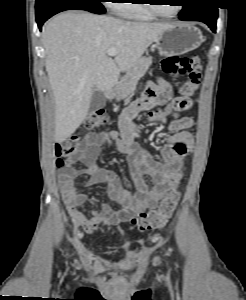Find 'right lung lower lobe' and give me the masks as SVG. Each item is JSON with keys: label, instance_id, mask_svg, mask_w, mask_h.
<instances>
[{"label": "right lung lower lobe", "instance_id": "98d812e1", "mask_svg": "<svg viewBox=\"0 0 246 300\" xmlns=\"http://www.w3.org/2000/svg\"><path fill=\"white\" fill-rule=\"evenodd\" d=\"M71 9L86 10L92 13H96L94 10H91L83 3L74 0H61L51 2L43 8L36 10V21L39 29L41 30L43 23L53 15Z\"/></svg>", "mask_w": 246, "mask_h": 300}]
</instances>
